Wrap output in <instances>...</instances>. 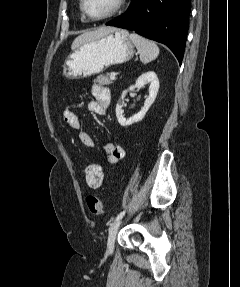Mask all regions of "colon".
<instances>
[{
	"mask_svg": "<svg viewBox=\"0 0 240 287\" xmlns=\"http://www.w3.org/2000/svg\"><path fill=\"white\" fill-rule=\"evenodd\" d=\"M87 185L92 189H98L103 184V170L98 164H88L84 170ZM87 205L90 212L94 215L105 213L104 200L102 197L90 195L87 197Z\"/></svg>",
	"mask_w": 240,
	"mask_h": 287,
	"instance_id": "5ec220e1",
	"label": "colon"
}]
</instances>
